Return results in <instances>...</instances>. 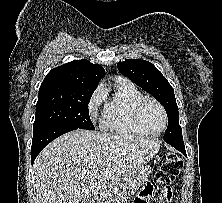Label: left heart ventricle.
I'll return each instance as SVG.
<instances>
[{"instance_id":"left-heart-ventricle-1","label":"left heart ventricle","mask_w":222,"mask_h":203,"mask_svg":"<svg viewBox=\"0 0 222 203\" xmlns=\"http://www.w3.org/2000/svg\"><path fill=\"white\" fill-rule=\"evenodd\" d=\"M142 120L151 131H159L164 125L161 110L153 103H147L142 110Z\"/></svg>"}]
</instances>
